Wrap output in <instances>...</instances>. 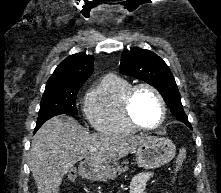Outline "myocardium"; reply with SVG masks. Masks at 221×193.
<instances>
[{"label": "myocardium", "mask_w": 221, "mask_h": 193, "mask_svg": "<svg viewBox=\"0 0 221 193\" xmlns=\"http://www.w3.org/2000/svg\"><path fill=\"white\" fill-rule=\"evenodd\" d=\"M140 89H147L150 90L159 100L160 106H161V118L159 120V122L152 127H145L142 126L141 124H139L132 113V102L133 99L136 95V93L140 90ZM123 107H124V113L125 116L128 120V122L135 127L138 130L141 131H145V132H153L156 131L158 129H160L163 124L166 121V117H167V105H166V101L163 97V95L161 94V92L153 85L149 84V83H138L135 85H132L129 90L127 91L125 98H124V102H123Z\"/></svg>", "instance_id": "f54148a6"}]
</instances>
